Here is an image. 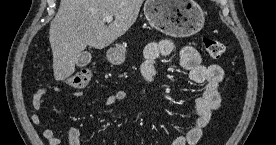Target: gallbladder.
Instances as JSON below:
<instances>
[{
    "mask_svg": "<svg viewBox=\"0 0 276 145\" xmlns=\"http://www.w3.org/2000/svg\"><path fill=\"white\" fill-rule=\"evenodd\" d=\"M91 53L89 51H82L80 53L79 59L76 63V65L78 67H85L86 65H88L91 61Z\"/></svg>",
    "mask_w": 276,
    "mask_h": 145,
    "instance_id": "bac80fb5",
    "label": "gallbladder"
}]
</instances>
